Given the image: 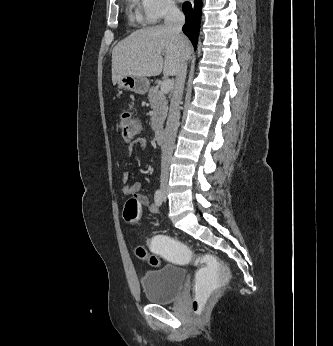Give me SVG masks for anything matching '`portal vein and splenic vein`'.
<instances>
[{
	"mask_svg": "<svg viewBox=\"0 0 333 346\" xmlns=\"http://www.w3.org/2000/svg\"><path fill=\"white\" fill-rule=\"evenodd\" d=\"M173 88V82L169 79L163 81V83L161 84V88H160V93L161 94H167L169 93V91H171Z\"/></svg>",
	"mask_w": 333,
	"mask_h": 346,
	"instance_id": "portal-vein-and-splenic-vein-1",
	"label": "portal vein and splenic vein"
}]
</instances>
